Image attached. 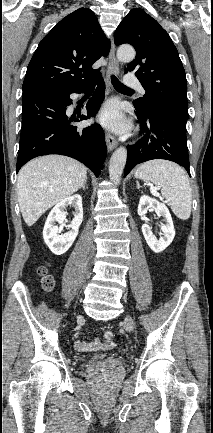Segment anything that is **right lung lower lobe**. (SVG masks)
<instances>
[{"label": "right lung lower lobe", "mask_w": 213, "mask_h": 433, "mask_svg": "<svg viewBox=\"0 0 213 433\" xmlns=\"http://www.w3.org/2000/svg\"><path fill=\"white\" fill-rule=\"evenodd\" d=\"M96 83L98 87L86 105L88 116H94L105 94L104 81L100 75L66 92H23V117L16 172L37 156L60 154L81 161L96 177L99 176L107 155L105 135L101 126L92 124L81 129L70 123L86 120L87 116L69 118L66 115L67 106L72 103L70 94L82 93Z\"/></svg>", "instance_id": "obj_1"}]
</instances>
